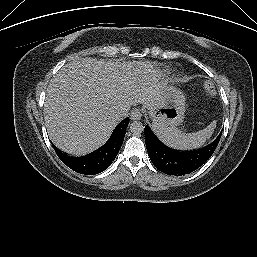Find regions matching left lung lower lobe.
<instances>
[{
    "instance_id": "obj_1",
    "label": "left lung lower lobe",
    "mask_w": 257,
    "mask_h": 257,
    "mask_svg": "<svg viewBox=\"0 0 257 257\" xmlns=\"http://www.w3.org/2000/svg\"><path fill=\"white\" fill-rule=\"evenodd\" d=\"M222 131L216 139L207 146L193 151H176L165 146L156 137L148 125L144 135L148 155L157 169L167 175L182 176L201 167L214 153Z\"/></svg>"
}]
</instances>
